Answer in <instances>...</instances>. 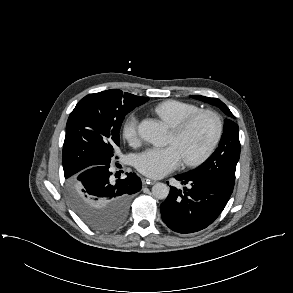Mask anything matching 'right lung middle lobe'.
Wrapping results in <instances>:
<instances>
[{
  "mask_svg": "<svg viewBox=\"0 0 293 293\" xmlns=\"http://www.w3.org/2000/svg\"><path fill=\"white\" fill-rule=\"evenodd\" d=\"M145 102L138 96L111 89L85 96L68 118L62 153L67 190L77 214L94 229L113 230L123 223L124 217L90 211L78 175L88 167L110 164L120 143L125 115Z\"/></svg>",
  "mask_w": 293,
  "mask_h": 293,
  "instance_id": "1",
  "label": "right lung middle lobe"
}]
</instances>
